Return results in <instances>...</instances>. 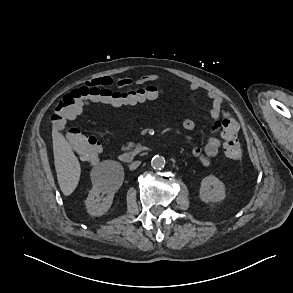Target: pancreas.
I'll return each instance as SVG.
<instances>
[{"label":"pancreas","mask_w":293,"mask_h":293,"mask_svg":"<svg viewBox=\"0 0 293 293\" xmlns=\"http://www.w3.org/2000/svg\"><path fill=\"white\" fill-rule=\"evenodd\" d=\"M133 147L136 148V149H135V152H138V151L141 150V146H140V145H136V146H135V144L132 143V142L128 143V145H127L126 147L122 148V149H123V150H126V151H129V150H131Z\"/></svg>","instance_id":"pancreas-1"}]
</instances>
